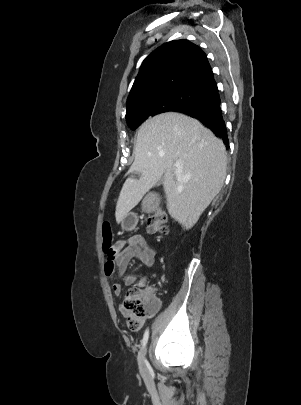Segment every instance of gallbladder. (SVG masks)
<instances>
[{
	"instance_id": "1",
	"label": "gallbladder",
	"mask_w": 301,
	"mask_h": 405,
	"mask_svg": "<svg viewBox=\"0 0 301 405\" xmlns=\"http://www.w3.org/2000/svg\"><path fill=\"white\" fill-rule=\"evenodd\" d=\"M162 184V179H160L158 182H157V186H159V185H161Z\"/></svg>"
}]
</instances>
